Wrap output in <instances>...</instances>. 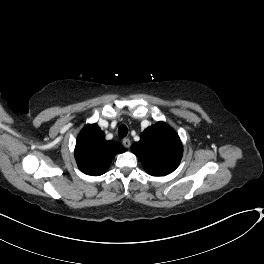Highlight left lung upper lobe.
<instances>
[{"label": "left lung upper lobe", "mask_w": 264, "mask_h": 264, "mask_svg": "<svg viewBox=\"0 0 264 264\" xmlns=\"http://www.w3.org/2000/svg\"><path fill=\"white\" fill-rule=\"evenodd\" d=\"M145 171L152 176H164L179 165L183 148L178 134L166 123L158 122L141 134L131 146Z\"/></svg>", "instance_id": "obj_1"}]
</instances>
